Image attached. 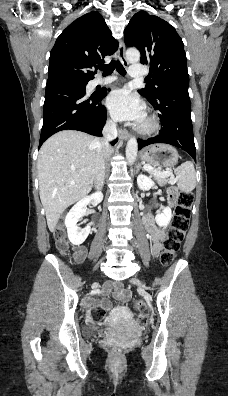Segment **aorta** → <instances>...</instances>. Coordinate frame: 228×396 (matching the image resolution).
I'll use <instances>...</instances> for the list:
<instances>
[{"label":"aorta","instance_id":"762f6f07","mask_svg":"<svg viewBox=\"0 0 228 396\" xmlns=\"http://www.w3.org/2000/svg\"><path fill=\"white\" fill-rule=\"evenodd\" d=\"M126 59L131 63L138 62L140 60V52L137 49H128L126 51ZM137 150V140L135 137H131L126 146V159L130 165L134 163L137 157Z\"/></svg>","mask_w":228,"mask_h":396}]
</instances>
